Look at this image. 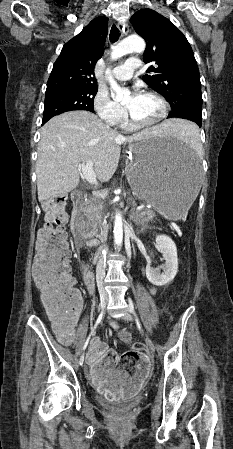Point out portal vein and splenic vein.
I'll list each match as a JSON object with an SVG mask.
<instances>
[{"label":"portal vein and splenic vein","instance_id":"1","mask_svg":"<svg viewBox=\"0 0 233 449\" xmlns=\"http://www.w3.org/2000/svg\"><path fill=\"white\" fill-rule=\"evenodd\" d=\"M79 169L82 171L85 179L91 184H97L96 175L93 171V162L88 161L79 165Z\"/></svg>","mask_w":233,"mask_h":449}]
</instances>
